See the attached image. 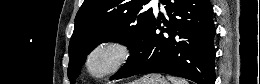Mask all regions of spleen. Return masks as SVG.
Here are the masks:
<instances>
[{
	"label": "spleen",
	"mask_w": 260,
	"mask_h": 84,
	"mask_svg": "<svg viewBox=\"0 0 260 84\" xmlns=\"http://www.w3.org/2000/svg\"><path fill=\"white\" fill-rule=\"evenodd\" d=\"M168 79L171 81L172 84H188L185 79L175 78L172 76H168Z\"/></svg>",
	"instance_id": "1"
}]
</instances>
